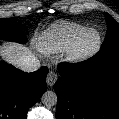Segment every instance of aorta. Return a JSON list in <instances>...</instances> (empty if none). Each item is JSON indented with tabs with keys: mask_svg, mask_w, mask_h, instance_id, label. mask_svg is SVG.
Returning <instances> with one entry per match:
<instances>
[{
	"mask_svg": "<svg viewBox=\"0 0 119 119\" xmlns=\"http://www.w3.org/2000/svg\"><path fill=\"white\" fill-rule=\"evenodd\" d=\"M42 103L47 107H52L57 104L58 98L54 91H46L41 97Z\"/></svg>",
	"mask_w": 119,
	"mask_h": 119,
	"instance_id": "1",
	"label": "aorta"
}]
</instances>
